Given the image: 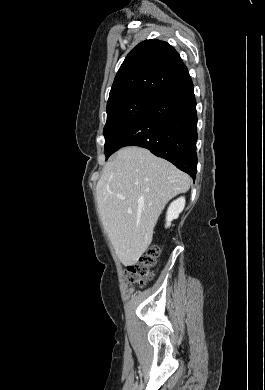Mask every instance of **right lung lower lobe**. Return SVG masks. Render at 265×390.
Segmentation results:
<instances>
[{"label":"right lung lower lobe","instance_id":"right-lung-lower-lobe-1","mask_svg":"<svg viewBox=\"0 0 265 390\" xmlns=\"http://www.w3.org/2000/svg\"><path fill=\"white\" fill-rule=\"evenodd\" d=\"M196 141V100L188 74L147 106L121 135L115 150L125 146L147 148L195 179Z\"/></svg>","mask_w":265,"mask_h":390}]
</instances>
